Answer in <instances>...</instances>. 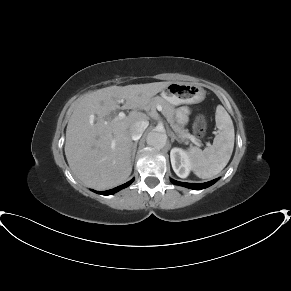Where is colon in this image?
<instances>
[{
  "label": "colon",
  "instance_id": "colon-1",
  "mask_svg": "<svg viewBox=\"0 0 291 291\" xmlns=\"http://www.w3.org/2000/svg\"><path fill=\"white\" fill-rule=\"evenodd\" d=\"M194 132L197 137L203 138L207 130V120L203 115H198L194 121Z\"/></svg>",
  "mask_w": 291,
  "mask_h": 291
}]
</instances>
